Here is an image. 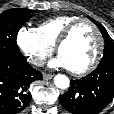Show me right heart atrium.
Listing matches in <instances>:
<instances>
[{
    "instance_id": "right-heart-atrium-1",
    "label": "right heart atrium",
    "mask_w": 114,
    "mask_h": 114,
    "mask_svg": "<svg viewBox=\"0 0 114 114\" xmlns=\"http://www.w3.org/2000/svg\"><path fill=\"white\" fill-rule=\"evenodd\" d=\"M16 43L28 62L35 66L41 65L53 52V46L47 43L35 28L19 29Z\"/></svg>"
}]
</instances>
